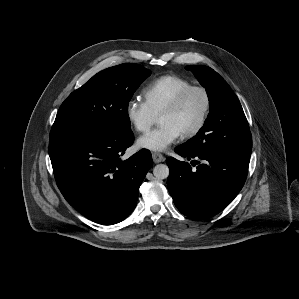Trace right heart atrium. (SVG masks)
<instances>
[{
	"label": "right heart atrium",
	"instance_id": "1",
	"mask_svg": "<svg viewBox=\"0 0 299 299\" xmlns=\"http://www.w3.org/2000/svg\"><path fill=\"white\" fill-rule=\"evenodd\" d=\"M125 116L132 128L139 133L148 131L156 118L145 102L137 99H130L126 103Z\"/></svg>",
	"mask_w": 299,
	"mask_h": 299
}]
</instances>
